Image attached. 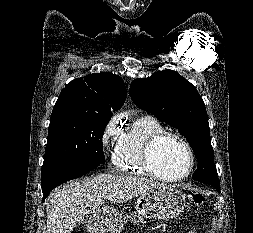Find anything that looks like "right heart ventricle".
I'll use <instances>...</instances> for the list:
<instances>
[{
  "mask_svg": "<svg viewBox=\"0 0 253 233\" xmlns=\"http://www.w3.org/2000/svg\"><path fill=\"white\" fill-rule=\"evenodd\" d=\"M163 132V125L153 116L145 115L133 121L120 133L115 144L112 163L116 170L149 176L142 163L143 149L152 136Z\"/></svg>",
  "mask_w": 253,
  "mask_h": 233,
  "instance_id": "right-heart-ventricle-1",
  "label": "right heart ventricle"
}]
</instances>
